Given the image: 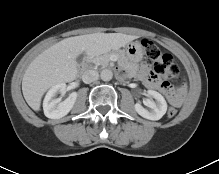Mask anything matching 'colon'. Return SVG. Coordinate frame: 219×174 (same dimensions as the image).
I'll list each match as a JSON object with an SVG mask.
<instances>
[{
    "label": "colon",
    "instance_id": "1",
    "mask_svg": "<svg viewBox=\"0 0 219 174\" xmlns=\"http://www.w3.org/2000/svg\"><path fill=\"white\" fill-rule=\"evenodd\" d=\"M143 46L146 55V62L152 66L155 74L174 82L182 81L181 71L173 57L168 53H163L151 41L144 40ZM177 109L171 107L168 109L169 118L175 117Z\"/></svg>",
    "mask_w": 219,
    "mask_h": 174
}]
</instances>
